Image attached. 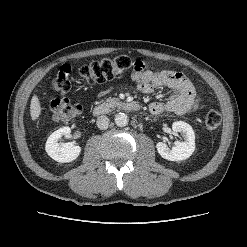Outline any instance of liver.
Listing matches in <instances>:
<instances>
[{
  "mask_svg": "<svg viewBox=\"0 0 247 247\" xmlns=\"http://www.w3.org/2000/svg\"><path fill=\"white\" fill-rule=\"evenodd\" d=\"M41 104L37 95H33L30 104V115L33 121H36L41 114Z\"/></svg>",
  "mask_w": 247,
  "mask_h": 247,
  "instance_id": "obj_1",
  "label": "liver"
}]
</instances>
